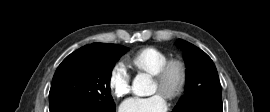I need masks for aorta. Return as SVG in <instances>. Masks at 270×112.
<instances>
[{"label":"aorta","instance_id":"762f6f07","mask_svg":"<svg viewBox=\"0 0 270 112\" xmlns=\"http://www.w3.org/2000/svg\"><path fill=\"white\" fill-rule=\"evenodd\" d=\"M132 90L137 96H148L154 93V85L146 74H138L133 79Z\"/></svg>","mask_w":270,"mask_h":112}]
</instances>
